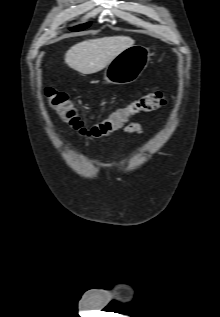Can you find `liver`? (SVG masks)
I'll return each instance as SVG.
<instances>
[{
    "label": "liver",
    "instance_id": "1",
    "mask_svg": "<svg viewBox=\"0 0 220 317\" xmlns=\"http://www.w3.org/2000/svg\"><path fill=\"white\" fill-rule=\"evenodd\" d=\"M127 36L89 39L73 45L65 54V63L82 74L104 69L118 54L133 46Z\"/></svg>",
    "mask_w": 220,
    "mask_h": 317
}]
</instances>
